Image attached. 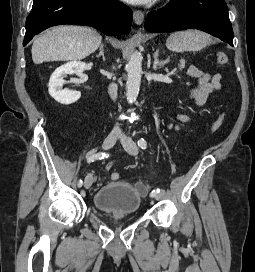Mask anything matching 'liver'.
<instances>
[{
  "instance_id": "6515ba94",
  "label": "liver",
  "mask_w": 255,
  "mask_h": 272,
  "mask_svg": "<svg viewBox=\"0 0 255 272\" xmlns=\"http://www.w3.org/2000/svg\"><path fill=\"white\" fill-rule=\"evenodd\" d=\"M101 41L100 34L92 28L57 26L34 40L32 59L35 64L81 60L95 52Z\"/></svg>"
}]
</instances>
